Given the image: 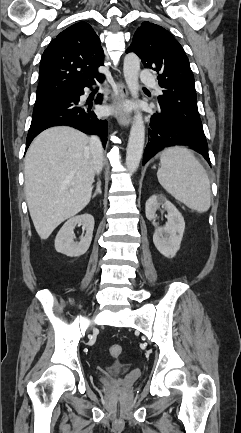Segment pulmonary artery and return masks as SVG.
Segmentation results:
<instances>
[{
    "label": "pulmonary artery",
    "instance_id": "pulmonary-artery-1",
    "mask_svg": "<svg viewBox=\"0 0 241 433\" xmlns=\"http://www.w3.org/2000/svg\"><path fill=\"white\" fill-rule=\"evenodd\" d=\"M140 82L142 84L151 85L155 82V77L148 70L143 69L140 74Z\"/></svg>",
    "mask_w": 241,
    "mask_h": 433
}]
</instances>
